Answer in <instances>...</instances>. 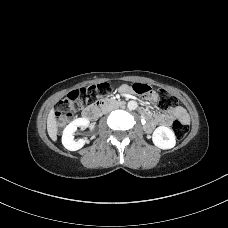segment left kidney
I'll return each mask as SVG.
<instances>
[{
  "mask_svg": "<svg viewBox=\"0 0 228 228\" xmlns=\"http://www.w3.org/2000/svg\"><path fill=\"white\" fill-rule=\"evenodd\" d=\"M152 141L155 146L164 150L171 149L176 144L174 132L165 126H159L154 130Z\"/></svg>",
  "mask_w": 228,
  "mask_h": 228,
  "instance_id": "5707ae66",
  "label": "left kidney"
}]
</instances>
